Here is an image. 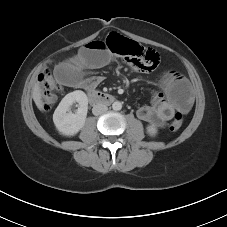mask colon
Here are the masks:
<instances>
[{"label": "colon", "mask_w": 227, "mask_h": 227, "mask_svg": "<svg viewBox=\"0 0 227 227\" xmlns=\"http://www.w3.org/2000/svg\"><path fill=\"white\" fill-rule=\"evenodd\" d=\"M103 41L107 45V50L121 56L127 63H131L137 67L139 71H153L160 63L158 53L153 50H146L138 43L121 35L112 33ZM38 81L41 91V106L44 110H50L56 102V93L60 90V85L54 79L49 69H46L39 75ZM182 125L183 115L177 113L170 124V130L177 131Z\"/></svg>", "instance_id": "5ec220e1"}]
</instances>
